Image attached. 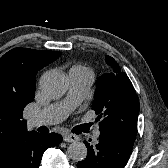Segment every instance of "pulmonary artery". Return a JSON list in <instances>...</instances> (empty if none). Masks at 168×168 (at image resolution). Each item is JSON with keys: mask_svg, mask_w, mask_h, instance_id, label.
Listing matches in <instances>:
<instances>
[{"mask_svg": "<svg viewBox=\"0 0 168 168\" xmlns=\"http://www.w3.org/2000/svg\"><path fill=\"white\" fill-rule=\"evenodd\" d=\"M69 79L70 86L66 98L33 114L28 120L30 127L52 125L63 121L85 97L93 82V73L86 70H70ZM99 135L100 131L95 130L93 138L97 139Z\"/></svg>", "mask_w": 168, "mask_h": 168, "instance_id": "e3ab8cb5", "label": "pulmonary artery"}]
</instances>
